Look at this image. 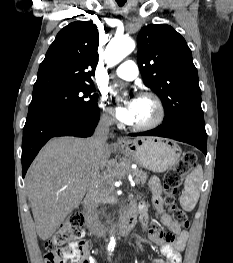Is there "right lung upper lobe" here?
Instances as JSON below:
<instances>
[{"instance_id": "obj_1", "label": "right lung upper lobe", "mask_w": 233, "mask_h": 263, "mask_svg": "<svg viewBox=\"0 0 233 263\" xmlns=\"http://www.w3.org/2000/svg\"><path fill=\"white\" fill-rule=\"evenodd\" d=\"M98 45L97 26L91 21H76L64 27L39 66L33 95L92 84Z\"/></svg>"}]
</instances>
